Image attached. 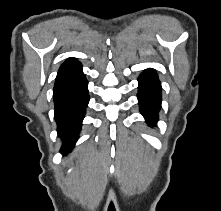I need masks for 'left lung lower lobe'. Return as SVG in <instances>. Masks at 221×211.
Returning a JSON list of instances; mask_svg holds the SVG:
<instances>
[{"mask_svg": "<svg viewBox=\"0 0 221 211\" xmlns=\"http://www.w3.org/2000/svg\"><path fill=\"white\" fill-rule=\"evenodd\" d=\"M140 112L149 125L156 124L161 107V84L154 69H146L138 78Z\"/></svg>", "mask_w": 221, "mask_h": 211, "instance_id": "obj_1", "label": "left lung lower lobe"}]
</instances>
